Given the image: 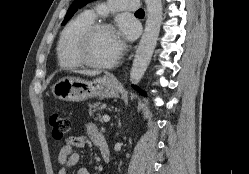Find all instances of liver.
<instances>
[{
	"instance_id": "6515ba94",
	"label": "liver",
	"mask_w": 249,
	"mask_h": 174,
	"mask_svg": "<svg viewBox=\"0 0 249 174\" xmlns=\"http://www.w3.org/2000/svg\"><path fill=\"white\" fill-rule=\"evenodd\" d=\"M76 73L86 75V76H95L98 75V71H90V70H82V71H76Z\"/></svg>"
}]
</instances>
